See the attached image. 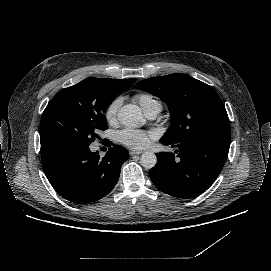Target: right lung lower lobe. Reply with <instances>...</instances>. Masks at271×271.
I'll list each match as a JSON object with an SVG mask.
<instances>
[{
	"instance_id": "obj_1",
	"label": "right lung lower lobe",
	"mask_w": 271,
	"mask_h": 271,
	"mask_svg": "<svg viewBox=\"0 0 271 271\" xmlns=\"http://www.w3.org/2000/svg\"><path fill=\"white\" fill-rule=\"evenodd\" d=\"M128 151L119 145L101 159L88 144L54 140L41 144L43 170L53 188L65 199L90 203L106 196L116 185Z\"/></svg>"
}]
</instances>
